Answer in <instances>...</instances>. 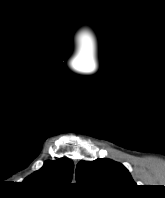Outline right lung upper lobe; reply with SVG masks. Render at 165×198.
Instances as JSON below:
<instances>
[{
  "mask_svg": "<svg viewBox=\"0 0 165 198\" xmlns=\"http://www.w3.org/2000/svg\"><path fill=\"white\" fill-rule=\"evenodd\" d=\"M74 163L67 158L46 161L41 169L35 171L24 181L42 186L69 184L72 179Z\"/></svg>",
  "mask_w": 165,
  "mask_h": 198,
  "instance_id": "cb5924a9",
  "label": "right lung upper lobe"
}]
</instances>
